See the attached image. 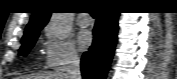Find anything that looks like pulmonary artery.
Segmentation results:
<instances>
[{"label":"pulmonary artery","mask_w":177,"mask_h":79,"mask_svg":"<svg viewBox=\"0 0 177 79\" xmlns=\"http://www.w3.org/2000/svg\"><path fill=\"white\" fill-rule=\"evenodd\" d=\"M77 23L80 26H88L90 24V20L87 14H79L77 18Z\"/></svg>","instance_id":"1"}]
</instances>
